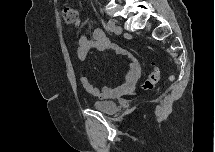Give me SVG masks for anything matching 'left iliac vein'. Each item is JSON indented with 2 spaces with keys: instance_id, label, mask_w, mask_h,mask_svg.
Listing matches in <instances>:
<instances>
[{
  "instance_id": "1",
  "label": "left iliac vein",
  "mask_w": 215,
  "mask_h": 152,
  "mask_svg": "<svg viewBox=\"0 0 215 152\" xmlns=\"http://www.w3.org/2000/svg\"><path fill=\"white\" fill-rule=\"evenodd\" d=\"M113 22V21H112ZM113 32L116 34V35H120L122 33V27L119 26V25H114L113 27Z\"/></svg>"
}]
</instances>
